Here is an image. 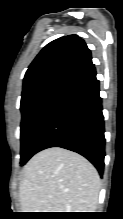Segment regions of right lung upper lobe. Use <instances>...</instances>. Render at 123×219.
I'll list each match as a JSON object with an SVG mask.
<instances>
[{
  "label": "right lung upper lobe",
  "mask_w": 123,
  "mask_h": 219,
  "mask_svg": "<svg viewBox=\"0 0 123 219\" xmlns=\"http://www.w3.org/2000/svg\"><path fill=\"white\" fill-rule=\"evenodd\" d=\"M94 66L91 52L84 40L68 35L46 45L36 56L23 80L26 91L54 80H71Z\"/></svg>",
  "instance_id": "cb5924a9"
}]
</instances>
